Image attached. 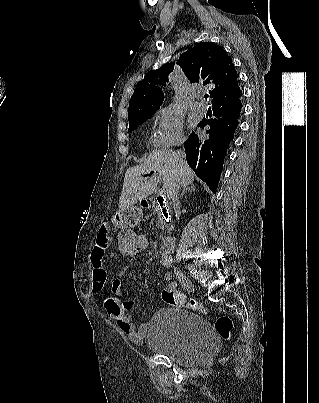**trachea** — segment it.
Segmentation results:
<instances>
[{
  "label": "trachea",
  "mask_w": 319,
  "mask_h": 403,
  "mask_svg": "<svg viewBox=\"0 0 319 403\" xmlns=\"http://www.w3.org/2000/svg\"><path fill=\"white\" fill-rule=\"evenodd\" d=\"M208 97H209L208 94H205V95H204V98H205V99H208Z\"/></svg>",
  "instance_id": "3493384b"
}]
</instances>
